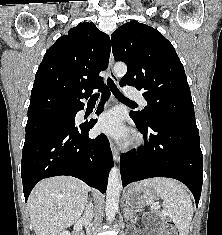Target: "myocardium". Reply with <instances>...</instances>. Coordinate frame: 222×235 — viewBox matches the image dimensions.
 <instances>
[{
  "mask_svg": "<svg viewBox=\"0 0 222 235\" xmlns=\"http://www.w3.org/2000/svg\"><path fill=\"white\" fill-rule=\"evenodd\" d=\"M141 143H142V139H141V137H136L135 138V140H134V142H133V145L135 146V147H138V146H140L141 145Z\"/></svg>",
  "mask_w": 222,
  "mask_h": 235,
  "instance_id": "myocardium-1",
  "label": "myocardium"
}]
</instances>
